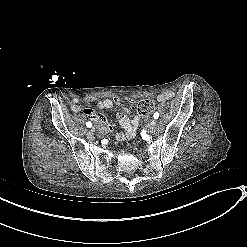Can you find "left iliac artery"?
Instances as JSON below:
<instances>
[{"label":"left iliac artery","instance_id":"1","mask_svg":"<svg viewBox=\"0 0 247 247\" xmlns=\"http://www.w3.org/2000/svg\"><path fill=\"white\" fill-rule=\"evenodd\" d=\"M154 119H158L159 118V113L158 112H155L154 115H153Z\"/></svg>","mask_w":247,"mask_h":247}]
</instances>
